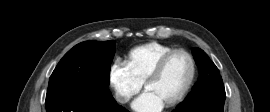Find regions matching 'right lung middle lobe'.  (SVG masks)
Segmentation results:
<instances>
[{
    "label": "right lung middle lobe",
    "instance_id": "dd1d6c3e",
    "mask_svg": "<svg viewBox=\"0 0 270 112\" xmlns=\"http://www.w3.org/2000/svg\"><path fill=\"white\" fill-rule=\"evenodd\" d=\"M114 52V40L77 44L64 55L53 71L46 97L72 87L100 99L112 98L107 86Z\"/></svg>",
    "mask_w": 270,
    "mask_h": 112
}]
</instances>
